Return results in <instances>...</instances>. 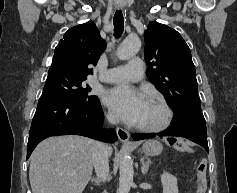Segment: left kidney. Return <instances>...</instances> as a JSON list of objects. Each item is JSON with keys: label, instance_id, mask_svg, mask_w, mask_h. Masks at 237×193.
<instances>
[{"label": "left kidney", "instance_id": "5707ae66", "mask_svg": "<svg viewBox=\"0 0 237 193\" xmlns=\"http://www.w3.org/2000/svg\"><path fill=\"white\" fill-rule=\"evenodd\" d=\"M163 193H178L177 179L175 176L165 172L161 175Z\"/></svg>", "mask_w": 237, "mask_h": 193}]
</instances>
